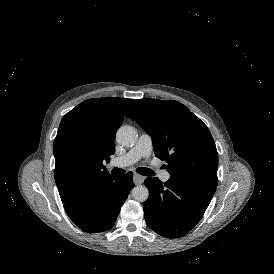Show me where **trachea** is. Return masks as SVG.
<instances>
[{
	"mask_svg": "<svg viewBox=\"0 0 274 274\" xmlns=\"http://www.w3.org/2000/svg\"><path fill=\"white\" fill-rule=\"evenodd\" d=\"M126 170L125 169H120V168H113L112 169V173L113 174H123ZM136 172H138L139 174L141 175H144V176H153V171L151 169H148V168H144V167H138L136 169Z\"/></svg>",
	"mask_w": 274,
	"mask_h": 274,
	"instance_id": "obj_1",
	"label": "trachea"
}]
</instances>
